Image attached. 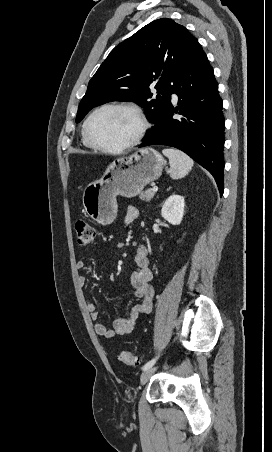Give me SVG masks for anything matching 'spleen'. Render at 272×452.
<instances>
[{"label":"spleen","instance_id":"3e777b00","mask_svg":"<svg viewBox=\"0 0 272 452\" xmlns=\"http://www.w3.org/2000/svg\"><path fill=\"white\" fill-rule=\"evenodd\" d=\"M162 153L169 159V173L172 179L183 178L193 167V160L178 149L165 148L162 150Z\"/></svg>","mask_w":272,"mask_h":452}]
</instances>
